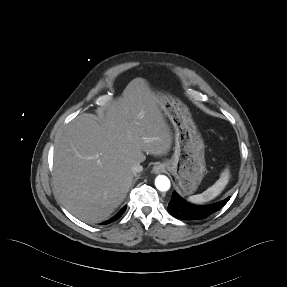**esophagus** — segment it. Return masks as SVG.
Segmentation results:
<instances>
[{
    "label": "esophagus",
    "mask_w": 287,
    "mask_h": 287,
    "mask_svg": "<svg viewBox=\"0 0 287 287\" xmlns=\"http://www.w3.org/2000/svg\"><path fill=\"white\" fill-rule=\"evenodd\" d=\"M166 170V166L162 163H157L153 169H152V172L155 173V174H158V173H162V172H165Z\"/></svg>",
    "instance_id": "esophagus-1"
}]
</instances>
